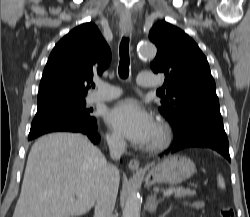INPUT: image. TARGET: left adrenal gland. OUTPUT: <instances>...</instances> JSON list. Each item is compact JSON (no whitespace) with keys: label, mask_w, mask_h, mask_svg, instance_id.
I'll return each mask as SVG.
<instances>
[{"label":"left adrenal gland","mask_w":250,"mask_h":217,"mask_svg":"<svg viewBox=\"0 0 250 217\" xmlns=\"http://www.w3.org/2000/svg\"><path fill=\"white\" fill-rule=\"evenodd\" d=\"M159 202H161V199L157 200L156 193H154L153 195H151L148 198V202H147V209H148V211L150 213H154L156 211V209H157V206H158Z\"/></svg>","instance_id":"1"}]
</instances>
